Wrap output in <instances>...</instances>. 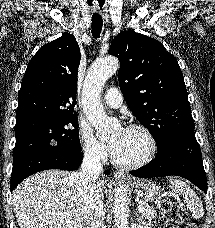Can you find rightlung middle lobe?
Listing matches in <instances>:
<instances>
[{"label":"right lung middle lobe","instance_id":"obj_1","mask_svg":"<svg viewBox=\"0 0 215 228\" xmlns=\"http://www.w3.org/2000/svg\"><path fill=\"white\" fill-rule=\"evenodd\" d=\"M13 158L39 148L81 151L76 114L29 119L15 125Z\"/></svg>","mask_w":215,"mask_h":228}]
</instances>
